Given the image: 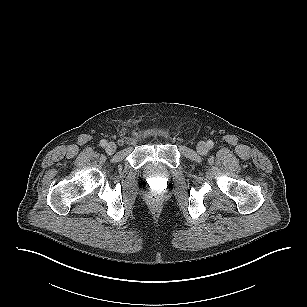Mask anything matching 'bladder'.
I'll list each match as a JSON object with an SVG mask.
<instances>
[{"label": "bladder", "mask_w": 307, "mask_h": 307, "mask_svg": "<svg viewBox=\"0 0 307 307\" xmlns=\"http://www.w3.org/2000/svg\"><path fill=\"white\" fill-rule=\"evenodd\" d=\"M146 176L149 178H167L168 173L165 168L158 163L150 162L145 168Z\"/></svg>", "instance_id": "31cf9c89"}]
</instances>
